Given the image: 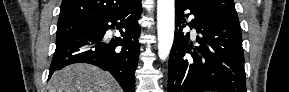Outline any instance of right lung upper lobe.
<instances>
[{"label":"right lung upper lobe","instance_id":"cb5924a9","mask_svg":"<svg viewBox=\"0 0 289 92\" xmlns=\"http://www.w3.org/2000/svg\"><path fill=\"white\" fill-rule=\"evenodd\" d=\"M135 0H63L58 25L92 22L130 7Z\"/></svg>","mask_w":289,"mask_h":92}]
</instances>
